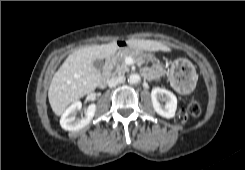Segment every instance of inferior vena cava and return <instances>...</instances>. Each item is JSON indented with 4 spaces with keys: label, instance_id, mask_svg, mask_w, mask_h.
<instances>
[{
    "label": "inferior vena cava",
    "instance_id": "inferior-vena-cava-1",
    "mask_svg": "<svg viewBox=\"0 0 245 170\" xmlns=\"http://www.w3.org/2000/svg\"><path fill=\"white\" fill-rule=\"evenodd\" d=\"M125 82V77L120 75V76H114L108 81V86L109 87H115L118 84L124 83Z\"/></svg>",
    "mask_w": 245,
    "mask_h": 170
}]
</instances>
